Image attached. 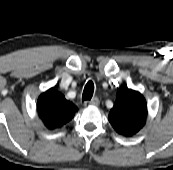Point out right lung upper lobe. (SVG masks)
I'll use <instances>...</instances> for the list:
<instances>
[{"label":"right lung upper lobe","instance_id":"1","mask_svg":"<svg viewBox=\"0 0 173 170\" xmlns=\"http://www.w3.org/2000/svg\"><path fill=\"white\" fill-rule=\"evenodd\" d=\"M37 111L44 125L53 130L70 121L77 107L66 100L62 93L50 88L39 96Z\"/></svg>","mask_w":173,"mask_h":170}]
</instances>
